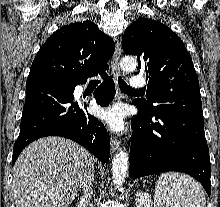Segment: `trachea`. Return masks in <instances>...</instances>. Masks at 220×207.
Here are the masks:
<instances>
[{
	"label": "trachea",
	"mask_w": 220,
	"mask_h": 207,
	"mask_svg": "<svg viewBox=\"0 0 220 207\" xmlns=\"http://www.w3.org/2000/svg\"><path fill=\"white\" fill-rule=\"evenodd\" d=\"M91 83H100V80L94 79V80H91ZM118 84H119L120 89L123 92H139L140 91V90H136L128 86L127 83L120 76L118 77Z\"/></svg>",
	"instance_id": "obj_1"
}]
</instances>
